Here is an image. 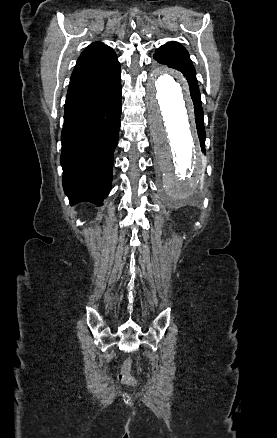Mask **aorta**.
<instances>
[{"instance_id": "aorta-1", "label": "aorta", "mask_w": 277, "mask_h": 438, "mask_svg": "<svg viewBox=\"0 0 277 438\" xmlns=\"http://www.w3.org/2000/svg\"><path fill=\"white\" fill-rule=\"evenodd\" d=\"M147 98L165 192L171 199H185L197 190L206 166L187 87L179 74L155 66Z\"/></svg>"}]
</instances>
